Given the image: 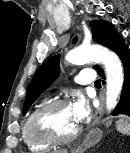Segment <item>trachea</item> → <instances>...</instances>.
<instances>
[{
	"label": "trachea",
	"instance_id": "3493384b",
	"mask_svg": "<svg viewBox=\"0 0 130 153\" xmlns=\"http://www.w3.org/2000/svg\"><path fill=\"white\" fill-rule=\"evenodd\" d=\"M95 86H101V80L98 79L95 83H94Z\"/></svg>",
	"mask_w": 130,
	"mask_h": 153
}]
</instances>
